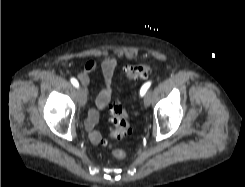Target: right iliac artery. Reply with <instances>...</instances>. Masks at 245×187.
<instances>
[{
  "instance_id": "82829eb1",
  "label": "right iliac artery",
  "mask_w": 245,
  "mask_h": 187,
  "mask_svg": "<svg viewBox=\"0 0 245 187\" xmlns=\"http://www.w3.org/2000/svg\"><path fill=\"white\" fill-rule=\"evenodd\" d=\"M71 83L73 84L74 87L78 88L79 87V83L75 78H71L70 79Z\"/></svg>"
}]
</instances>
